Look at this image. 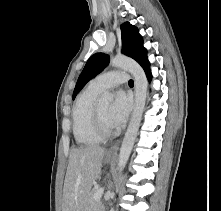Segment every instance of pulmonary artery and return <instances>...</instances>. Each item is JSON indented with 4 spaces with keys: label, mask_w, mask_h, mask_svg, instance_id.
<instances>
[{
    "label": "pulmonary artery",
    "mask_w": 221,
    "mask_h": 211,
    "mask_svg": "<svg viewBox=\"0 0 221 211\" xmlns=\"http://www.w3.org/2000/svg\"><path fill=\"white\" fill-rule=\"evenodd\" d=\"M128 76L123 71H109L96 76L91 80L90 84L95 88L103 91L106 89L117 87L126 83Z\"/></svg>",
    "instance_id": "obj_1"
}]
</instances>
